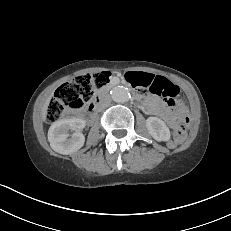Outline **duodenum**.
Listing matches in <instances>:
<instances>
[{"mask_svg": "<svg viewBox=\"0 0 231 231\" xmlns=\"http://www.w3.org/2000/svg\"><path fill=\"white\" fill-rule=\"evenodd\" d=\"M102 95H103V93H102ZM100 100H101V97H98L89 104V106H88V112L89 113H92L99 106Z\"/></svg>", "mask_w": 231, "mask_h": 231, "instance_id": "1", "label": "duodenum"}]
</instances>
